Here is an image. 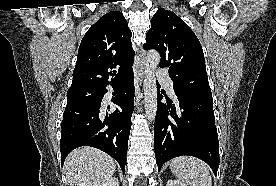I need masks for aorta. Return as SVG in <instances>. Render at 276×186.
Returning a JSON list of instances; mask_svg holds the SVG:
<instances>
[{
  "label": "aorta",
  "instance_id": "762f6f07",
  "mask_svg": "<svg viewBox=\"0 0 276 186\" xmlns=\"http://www.w3.org/2000/svg\"><path fill=\"white\" fill-rule=\"evenodd\" d=\"M160 54L155 50L147 52L144 71V106L148 120L153 121L157 111V85L155 72L160 63Z\"/></svg>",
  "mask_w": 276,
  "mask_h": 186
}]
</instances>
